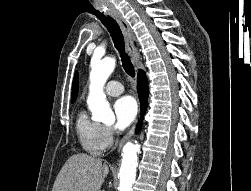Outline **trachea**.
<instances>
[{
	"label": "trachea",
	"mask_w": 251,
	"mask_h": 191,
	"mask_svg": "<svg viewBox=\"0 0 251 191\" xmlns=\"http://www.w3.org/2000/svg\"><path fill=\"white\" fill-rule=\"evenodd\" d=\"M97 17L109 31L111 38L113 40L114 46L120 53L123 69L129 76H132L134 78L135 69L131 63L129 56L127 55L125 51L124 37L117 21L114 20V18H112V16L110 17L109 15L107 16L97 15Z\"/></svg>",
	"instance_id": "trachea-1"
}]
</instances>
